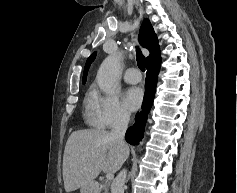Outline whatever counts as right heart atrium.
<instances>
[{
  "instance_id": "1",
  "label": "right heart atrium",
  "mask_w": 237,
  "mask_h": 193,
  "mask_svg": "<svg viewBox=\"0 0 237 193\" xmlns=\"http://www.w3.org/2000/svg\"><path fill=\"white\" fill-rule=\"evenodd\" d=\"M88 112L92 124L102 129L125 125L130 119L116 92L101 91L97 87L90 94Z\"/></svg>"
}]
</instances>
